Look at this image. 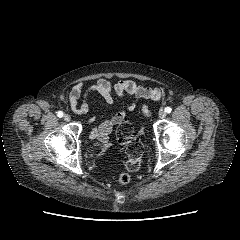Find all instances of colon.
<instances>
[{
  "label": "colon",
  "mask_w": 240,
  "mask_h": 240,
  "mask_svg": "<svg viewBox=\"0 0 240 240\" xmlns=\"http://www.w3.org/2000/svg\"><path fill=\"white\" fill-rule=\"evenodd\" d=\"M145 115L149 114L147 108H143ZM117 142L125 146L128 161L126 169L128 172H135L139 170L141 165V157L143 153V146L139 139L133 136V128L127 121H123L119 124L117 129ZM128 172H122L118 176V182L122 185L127 184L130 181V174Z\"/></svg>",
  "instance_id": "colon-1"
}]
</instances>
